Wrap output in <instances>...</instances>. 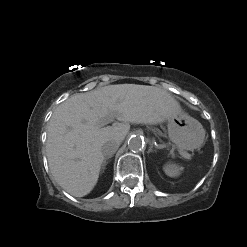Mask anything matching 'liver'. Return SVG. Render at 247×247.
<instances>
[{
    "instance_id": "1",
    "label": "liver",
    "mask_w": 247,
    "mask_h": 247,
    "mask_svg": "<svg viewBox=\"0 0 247 247\" xmlns=\"http://www.w3.org/2000/svg\"><path fill=\"white\" fill-rule=\"evenodd\" d=\"M178 103L165 90L147 85L117 84L78 93L61 103L48 125L46 152L54 180L69 194L83 197L96 185L105 142H122L130 123L158 124ZM116 118L120 122L102 127Z\"/></svg>"
}]
</instances>
